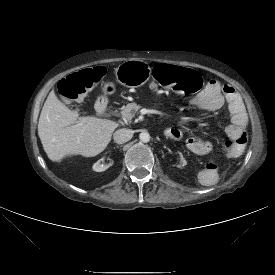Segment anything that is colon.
I'll list each match as a JSON object with an SVG mask.
<instances>
[{"label": "colon", "instance_id": "5ec220e1", "mask_svg": "<svg viewBox=\"0 0 275 275\" xmlns=\"http://www.w3.org/2000/svg\"><path fill=\"white\" fill-rule=\"evenodd\" d=\"M105 74L106 69L103 66L72 73L60 82L59 92L62 97L76 101L94 88ZM153 77L159 85L177 93L193 94L199 92L203 86L202 79L196 71L174 65L155 66ZM247 139L246 133L237 139H227L223 144L226 155L228 157L239 155L243 151Z\"/></svg>", "mask_w": 275, "mask_h": 275}]
</instances>
